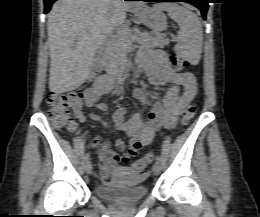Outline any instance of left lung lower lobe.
Segmentation results:
<instances>
[{
    "label": "left lung lower lobe",
    "mask_w": 260,
    "mask_h": 217,
    "mask_svg": "<svg viewBox=\"0 0 260 217\" xmlns=\"http://www.w3.org/2000/svg\"><path fill=\"white\" fill-rule=\"evenodd\" d=\"M135 1H147V2H187L191 3L202 12V16L206 19V12L208 9L209 0H135Z\"/></svg>",
    "instance_id": "obj_1"
}]
</instances>
